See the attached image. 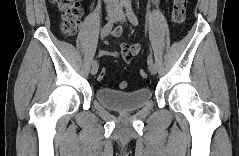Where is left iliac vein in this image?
<instances>
[{
  "mask_svg": "<svg viewBox=\"0 0 239 156\" xmlns=\"http://www.w3.org/2000/svg\"><path fill=\"white\" fill-rule=\"evenodd\" d=\"M116 20L120 21V22H125L126 18H125V15H124L122 10L118 9L116 11ZM149 70H150L152 75H155L157 73L156 65L154 63L152 65H149Z\"/></svg>",
  "mask_w": 239,
  "mask_h": 156,
  "instance_id": "obj_1",
  "label": "left iliac vein"
}]
</instances>
